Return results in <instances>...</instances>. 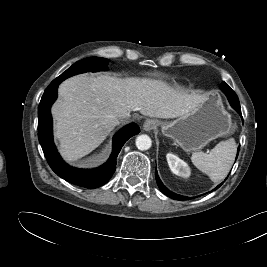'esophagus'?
Here are the masks:
<instances>
[{
  "instance_id": "1",
  "label": "esophagus",
  "mask_w": 267,
  "mask_h": 267,
  "mask_svg": "<svg viewBox=\"0 0 267 267\" xmlns=\"http://www.w3.org/2000/svg\"><path fill=\"white\" fill-rule=\"evenodd\" d=\"M157 127V121L154 119H148L145 121L143 125V129L145 131H151Z\"/></svg>"
}]
</instances>
